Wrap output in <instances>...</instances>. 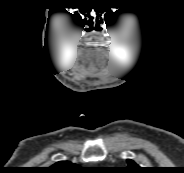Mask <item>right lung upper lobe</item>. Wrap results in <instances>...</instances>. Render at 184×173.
Here are the masks:
<instances>
[{"label":"right lung upper lobe","mask_w":184,"mask_h":173,"mask_svg":"<svg viewBox=\"0 0 184 173\" xmlns=\"http://www.w3.org/2000/svg\"><path fill=\"white\" fill-rule=\"evenodd\" d=\"M76 170H78L76 164H73L69 161H60L51 167H47L45 169V173H74Z\"/></svg>","instance_id":"right-lung-upper-lobe-1"}]
</instances>
